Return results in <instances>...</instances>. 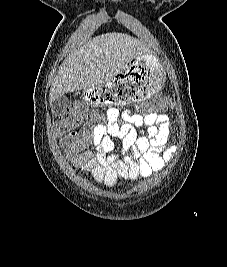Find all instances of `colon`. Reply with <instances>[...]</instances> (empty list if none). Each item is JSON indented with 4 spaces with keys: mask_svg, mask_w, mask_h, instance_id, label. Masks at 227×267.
Instances as JSON below:
<instances>
[{
    "mask_svg": "<svg viewBox=\"0 0 227 267\" xmlns=\"http://www.w3.org/2000/svg\"><path fill=\"white\" fill-rule=\"evenodd\" d=\"M170 104V100L164 97H156L150 105H139V110H146V115H159L164 113L165 108ZM86 119H103L102 111L99 114H90L85 102L77 101L72 103L61 114L56 124V129L60 133L81 125Z\"/></svg>",
    "mask_w": 227,
    "mask_h": 267,
    "instance_id": "1",
    "label": "colon"
}]
</instances>
